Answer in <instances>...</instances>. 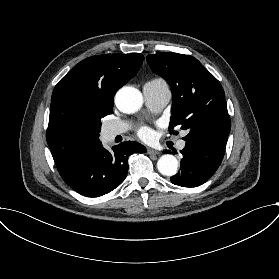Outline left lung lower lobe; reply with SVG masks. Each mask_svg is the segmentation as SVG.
<instances>
[{
  "instance_id": "left-lung-lower-lobe-1",
  "label": "left lung lower lobe",
  "mask_w": 279,
  "mask_h": 279,
  "mask_svg": "<svg viewBox=\"0 0 279 279\" xmlns=\"http://www.w3.org/2000/svg\"><path fill=\"white\" fill-rule=\"evenodd\" d=\"M224 153L225 146L210 141H187L181 151V171L171 177V182L183 187L205 183L220 166Z\"/></svg>"
}]
</instances>
